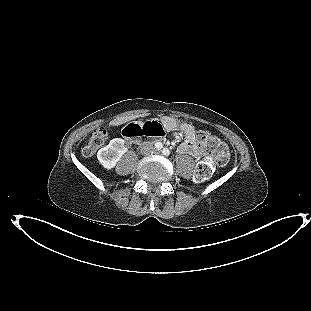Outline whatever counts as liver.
Listing matches in <instances>:
<instances>
[{"mask_svg": "<svg viewBox=\"0 0 311 311\" xmlns=\"http://www.w3.org/2000/svg\"><path fill=\"white\" fill-rule=\"evenodd\" d=\"M139 115H131V116H125V117H119V118H116L114 120H112L110 123H109V126H118V125H121L123 123H126L128 121H131L135 118H138Z\"/></svg>", "mask_w": 311, "mask_h": 311, "instance_id": "1", "label": "liver"}]
</instances>
